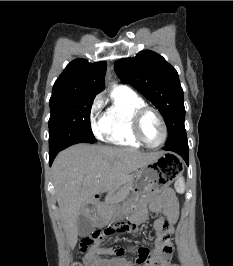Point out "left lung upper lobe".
Segmentation results:
<instances>
[{"label":"left lung upper lobe","instance_id":"obj_1","mask_svg":"<svg viewBox=\"0 0 233 266\" xmlns=\"http://www.w3.org/2000/svg\"><path fill=\"white\" fill-rule=\"evenodd\" d=\"M117 76L150 100L162 114L171 140L186 131L183 90L178 73L159 54L144 50L133 58L116 61Z\"/></svg>","mask_w":233,"mask_h":266}]
</instances>
